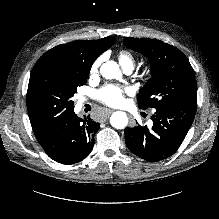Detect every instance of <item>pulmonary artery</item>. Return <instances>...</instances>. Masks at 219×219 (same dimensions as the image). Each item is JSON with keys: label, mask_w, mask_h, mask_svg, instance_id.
<instances>
[{"label": "pulmonary artery", "mask_w": 219, "mask_h": 219, "mask_svg": "<svg viewBox=\"0 0 219 219\" xmlns=\"http://www.w3.org/2000/svg\"><path fill=\"white\" fill-rule=\"evenodd\" d=\"M123 70H124L125 73L130 74L133 70V67H131V66L125 67V68H123ZM81 101L84 102L85 100L82 99Z\"/></svg>", "instance_id": "e3ab8cb5"}]
</instances>
